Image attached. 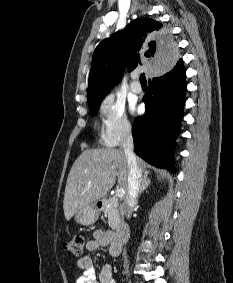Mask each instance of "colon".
Masks as SVG:
<instances>
[{
	"label": "colon",
	"mask_w": 233,
	"mask_h": 283,
	"mask_svg": "<svg viewBox=\"0 0 233 283\" xmlns=\"http://www.w3.org/2000/svg\"><path fill=\"white\" fill-rule=\"evenodd\" d=\"M85 240L81 235H75L64 243V249L74 256L83 253Z\"/></svg>",
	"instance_id": "obj_1"
}]
</instances>
